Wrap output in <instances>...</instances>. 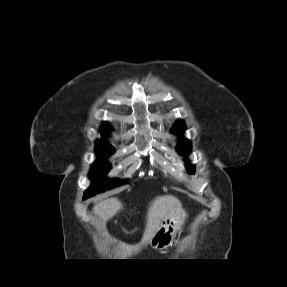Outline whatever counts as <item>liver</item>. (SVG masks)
<instances>
[{"instance_id": "liver-1", "label": "liver", "mask_w": 287, "mask_h": 287, "mask_svg": "<svg viewBox=\"0 0 287 287\" xmlns=\"http://www.w3.org/2000/svg\"><path fill=\"white\" fill-rule=\"evenodd\" d=\"M123 208L122 203L117 198H107L96 203L93 213L99 217V226H105L106 222ZM181 202L172 195L158 196L150 204L146 216V228L143 238L138 245L131 246L121 244V251L124 257L137 253L146 244L150 243L155 232L160 227L162 219L174 210H181Z\"/></svg>"}]
</instances>
